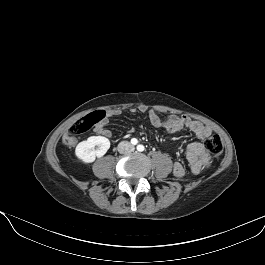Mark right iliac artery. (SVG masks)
I'll use <instances>...</instances> for the list:
<instances>
[{"label": "right iliac artery", "instance_id": "right-iliac-artery-1", "mask_svg": "<svg viewBox=\"0 0 265 265\" xmlns=\"http://www.w3.org/2000/svg\"><path fill=\"white\" fill-rule=\"evenodd\" d=\"M131 143L133 145H136L138 143V140L136 138L131 139Z\"/></svg>", "mask_w": 265, "mask_h": 265}]
</instances>
